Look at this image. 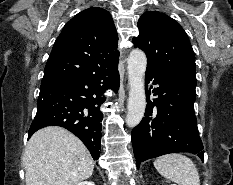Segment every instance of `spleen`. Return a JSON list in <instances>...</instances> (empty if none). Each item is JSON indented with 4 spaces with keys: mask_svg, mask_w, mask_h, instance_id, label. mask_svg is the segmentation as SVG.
Returning <instances> with one entry per match:
<instances>
[{
    "mask_svg": "<svg viewBox=\"0 0 233 185\" xmlns=\"http://www.w3.org/2000/svg\"><path fill=\"white\" fill-rule=\"evenodd\" d=\"M156 170L178 185H200L199 173L193 161L182 154H167L154 161Z\"/></svg>",
    "mask_w": 233,
    "mask_h": 185,
    "instance_id": "spleen-1",
    "label": "spleen"
}]
</instances>
